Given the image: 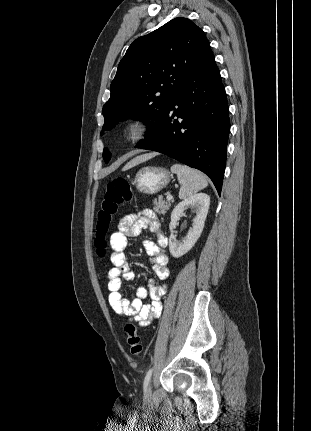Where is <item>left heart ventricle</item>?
<instances>
[{
	"label": "left heart ventricle",
	"mask_w": 311,
	"mask_h": 431,
	"mask_svg": "<svg viewBox=\"0 0 311 431\" xmlns=\"http://www.w3.org/2000/svg\"><path fill=\"white\" fill-rule=\"evenodd\" d=\"M137 132H138V129H137V127H135V126L128 127V128L126 129V131H125V133H126L127 135H134V134H136Z\"/></svg>",
	"instance_id": "b2bd125f"
}]
</instances>
